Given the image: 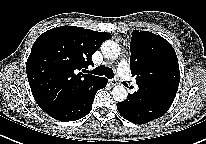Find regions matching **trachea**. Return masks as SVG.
<instances>
[{"mask_svg": "<svg viewBox=\"0 0 206 144\" xmlns=\"http://www.w3.org/2000/svg\"><path fill=\"white\" fill-rule=\"evenodd\" d=\"M91 73L99 76L104 75L109 79H112L114 77L113 70L111 68L105 67L104 65L98 66Z\"/></svg>", "mask_w": 206, "mask_h": 144, "instance_id": "obj_1", "label": "trachea"}]
</instances>
